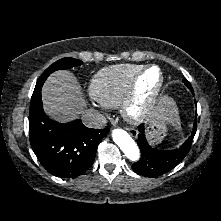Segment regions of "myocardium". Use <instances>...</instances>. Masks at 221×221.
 <instances>
[{
  "label": "myocardium",
  "instance_id": "1",
  "mask_svg": "<svg viewBox=\"0 0 221 221\" xmlns=\"http://www.w3.org/2000/svg\"><path fill=\"white\" fill-rule=\"evenodd\" d=\"M152 69L158 71V83L154 90L146 97L139 92L141 79ZM164 86V74L157 65L142 67L132 78L128 91L120 104L122 116L130 123L140 124L145 122L153 113Z\"/></svg>",
  "mask_w": 221,
  "mask_h": 221
}]
</instances>
